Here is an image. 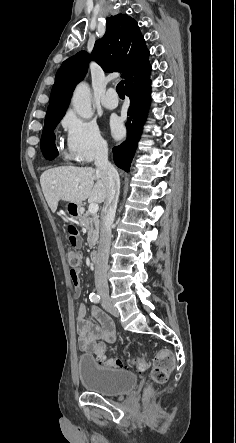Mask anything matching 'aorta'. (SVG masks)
I'll use <instances>...</instances> for the list:
<instances>
[{
    "label": "aorta",
    "mask_w": 236,
    "mask_h": 443,
    "mask_svg": "<svg viewBox=\"0 0 236 443\" xmlns=\"http://www.w3.org/2000/svg\"><path fill=\"white\" fill-rule=\"evenodd\" d=\"M72 106L77 114L84 118L90 119L93 116L91 108V91L86 83H80L72 97Z\"/></svg>",
    "instance_id": "aorta-1"
}]
</instances>
